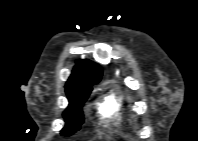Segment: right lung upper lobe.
Instances as JSON below:
<instances>
[{
    "label": "right lung upper lobe",
    "instance_id": "cb5924a9",
    "mask_svg": "<svg viewBox=\"0 0 198 141\" xmlns=\"http://www.w3.org/2000/svg\"><path fill=\"white\" fill-rule=\"evenodd\" d=\"M102 75L101 67L89 60H80L70 75L66 88L96 84Z\"/></svg>",
    "mask_w": 198,
    "mask_h": 141
}]
</instances>
